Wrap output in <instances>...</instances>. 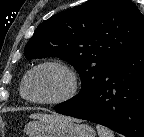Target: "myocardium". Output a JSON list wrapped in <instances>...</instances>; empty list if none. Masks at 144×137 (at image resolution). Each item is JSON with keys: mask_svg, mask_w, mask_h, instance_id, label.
<instances>
[{"mask_svg": "<svg viewBox=\"0 0 144 137\" xmlns=\"http://www.w3.org/2000/svg\"><path fill=\"white\" fill-rule=\"evenodd\" d=\"M43 68H55L65 74L68 80V88L62 95L52 99H40L30 97L27 94L26 90L29 79L35 72ZM78 87H79V81L77 74L69 65L61 61L49 60L36 64L25 74L21 82L20 93L24 99L32 103L44 104V105H57L65 103L71 100L73 97H75L78 91Z\"/></svg>", "mask_w": 144, "mask_h": 137, "instance_id": "obj_1", "label": "myocardium"}]
</instances>
